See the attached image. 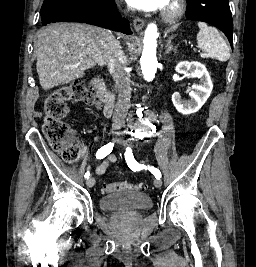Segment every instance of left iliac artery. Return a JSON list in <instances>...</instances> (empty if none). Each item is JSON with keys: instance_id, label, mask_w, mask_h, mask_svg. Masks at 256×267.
<instances>
[{"instance_id": "obj_1", "label": "left iliac artery", "mask_w": 256, "mask_h": 267, "mask_svg": "<svg viewBox=\"0 0 256 267\" xmlns=\"http://www.w3.org/2000/svg\"><path fill=\"white\" fill-rule=\"evenodd\" d=\"M125 160L127 162V165L131 170L139 171L141 169H148L156 178H161V172L154 168L153 166H145L144 164H139L133 156L131 148L127 147L125 152Z\"/></svg>"}]
</instances>
